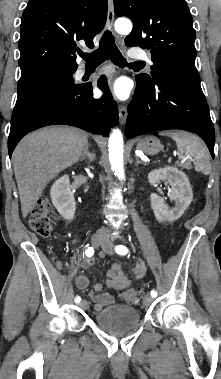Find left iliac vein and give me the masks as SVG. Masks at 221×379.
Wrapping results in <instances>:
<instances>
[{
  "instance_id": "obj_1",
  "label": "left iliac vein",
  "mask_w": 221,
  "mask_h": 379,
  "mask_svg": "<svg viewBox=\"0 0 221 379\" xmlns=\"http://www.w3.org/2000/svg\"><path fill=\"white\" fill-rule=\"evenodd\" d=\"M102 249L107 254H113L114 253V246H113L112 241H110L109 239H106L104 241V243L102 244ZM152 301H153V297L150 295H146L144 298V305L146 307H148L151 305Z\"/></svg>"
}]
</instances>
